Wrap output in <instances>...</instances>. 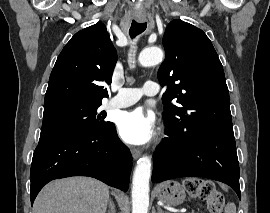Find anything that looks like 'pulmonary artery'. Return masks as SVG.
I'll use <instances>...</instances> for the list:
<instances>
[{
    "mask_svg": "<svg viewBox=\"0 0 270 213\" xmlns=\"http://www.w3.org/2000/svg\"><path fill=\"white\" fill-rule=\"evenodd\" d=\"M159 91V84L155 81H146L142 89L138 88H120L109 105L115 108H124L138 102L144 96H154Z\"/></svg>",
    "mask_w": 270,
    "mask_h": 213,
    "instance_id": "1",
    "label": "pulmonary artery"
}]
</instances>
